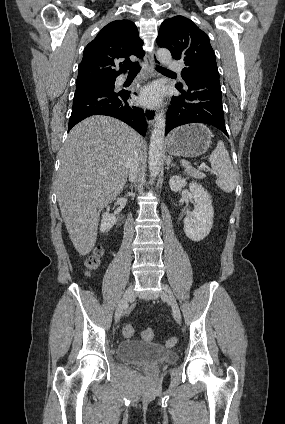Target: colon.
Masks as SVG:
<instances>
[{"label":"colon","mask_w":285,"mask_h":424,"mask_svg":"<svg viewBox=\"0 0 285 424\" xmlns=\"http://www.w3.org/2000/svg\"><path fill=\"white\" fill-rule=\"evenodd\" d=\"M104 254V250L101 247L96 248L93 253H91L86 259H85V267L88 271H94L96 270L102 261V257ZM134 333V328L132 325L128 324L123 329V335L125 337H131ZM142 338L146 341H150L154 338V331L153 329L147 328L142 331ZM176 343V338L171 337L167 340V344L174 345Z\"/></svg>","instance_id":"obj_1"}]
</instances>
